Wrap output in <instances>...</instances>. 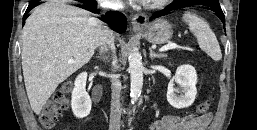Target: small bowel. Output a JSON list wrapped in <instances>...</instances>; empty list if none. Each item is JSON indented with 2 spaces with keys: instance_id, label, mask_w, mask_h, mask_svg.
I'll list each match as a JSON object with an SVG mask.
<instances>
[{
  "instance_id": "obj_1",
  "label": "small bowel",
  "mask_w": 257,
  "mask_h": 130,
  "mask_svg": "<svg viewBox=\"0 0 257 130\" xmlns=\"http://www.w3.org/2000/svg\"><path fill=\"white\" fill-rule=\"evenodd\" d=\"M211 120V114L201 116L165 115L155 121L151 130H204Z\"/></svg>"
}]
</instances>
